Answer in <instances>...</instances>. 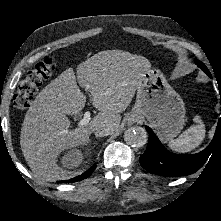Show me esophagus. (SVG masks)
Listing matches in <instances>:
<instances>
[{"mask_svg":"<svg viewBox=\"0 0 221 221\" xmlns=\"http://www.w3.org/2000/svg\"><path fill=\"white\" fill-rule=\"evenodd\" d=\"M138 120V117L136 115H131L129 118H128V124L131 125V124H134L136 123Z\"/></svg>","mask_w":221,"mask_h":221,"instance_id":"esophagus-1","label":"esophagus"}]
</instances>
